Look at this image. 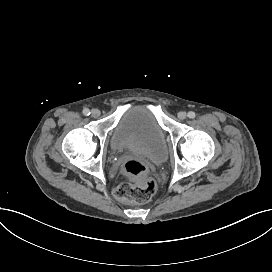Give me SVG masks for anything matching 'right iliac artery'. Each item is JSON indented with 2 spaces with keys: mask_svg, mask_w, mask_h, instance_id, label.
I'll list each match as a JSON object with an SVG mask.
<instances>
[{
  "mask_svg": "<svg viewBox=\"0 0 272 272\" xmlns=\"http://www.w3.org/2000/svg\"><path fill=\"white\" fill-rule=\"evenodd\" d=\"M83 114H84L85 116H89V115H90V110H89V109H84V110H83Z\"/></svg>",
  "mask_w": 272,
  "mask_h": 272,
  "instance_id": "right-iliac-artery-1",
  "label": "right iliac artery"
}]
</instances>
